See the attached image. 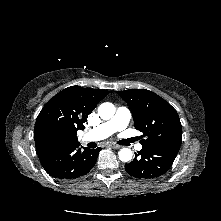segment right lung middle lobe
Wrapping results in <instances>:
<instances>
[{"label": "right lung middle lobe", "instance_id": "right-lung-middle-lobe-1", "mask_svg": "<svg viewBox=\"0 0 221 221\" xmlns=\"http://www.w3.org/2000/svg\"><path fill=\"white\" fill-rule=\"evenodd\" d=\"M48 142L50 144H52V146H60V145H63V144L67 143L64 139L60 138L57 135H50L48 137Z\"/></svg>", "mask_w": 221, "mask_h": 221}]
</instances>
